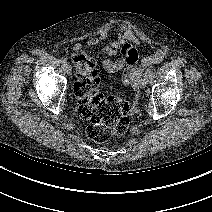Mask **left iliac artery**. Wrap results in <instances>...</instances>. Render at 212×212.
<instances>
[{"label": "left iliac artery", "instance_id": "44dca946", "mask_svg": "<svg viewBox=\"0 0 212 212\" xmlns=\"http://www.w3.org/2000/svg\"><path fill=\"white\" fill-rule=\"evenodd\" d=\"M144 78H146L147 82H149L150 80H152L153 78V73L151 70H147L145 75H144Z\"/></svg>", "mask_w": 212, "mask_h": 212}]
</instances>
